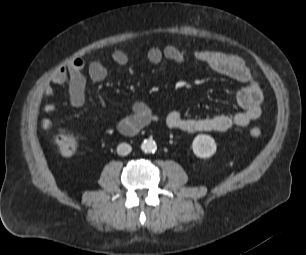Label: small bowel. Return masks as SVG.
Returning a JSON list of instances; mask_svg holds the SVG:
<instances>
[{
	"mask_svg": "<svg viewBox=\"0 0 306 255\" xmlns=\"http://www.w3.org/2000/svg\"><path fill=\"white\" fill-rule=\"evenodd\" d=\"M111 58L119 66H125L129 62L128 54L121 49L114 50ZM187 58V53L174 44H169L164 48L151 47L147 51V59L154 65L163 60L183 64ZM192 58L214 72L245 84V87L235 94L236 103L241 110L204 118L185 117L180 112L172 110L163 118L169 128L189 133L223 132L234 126H247L261 116L263 90L256 80L253 70L241 57L220 50H198L192 54ZM84 71H87L89 78L94 82L103 81L108 76V69L100 60L94 59L87 62L83 58H75L52 75L51 83L44 89V95L52 97L56 92V87L66 85L71 106L81 107L85 102L86 77ZM54 110L53 104L45 106L47 113ZM157 120L159 117L152 112L147 104L136 102L133 105L132 114L121 119L118 128L124 134H133L146 124ZM41 127L44 130H50L52 121L48 118L43 119Z\"/></svg>",
	"mask_w": 306,
	"mask_h": 255,
	"instance_id": "obj_1",
	"label": "small bowel"
}]
</instances>
